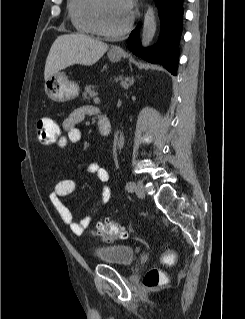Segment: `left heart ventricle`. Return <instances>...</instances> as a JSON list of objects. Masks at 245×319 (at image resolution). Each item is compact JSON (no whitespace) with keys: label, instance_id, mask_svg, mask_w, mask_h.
<instances>
[{"label":"left heart ventricle","instance_id":"b2bd125f","mask_svg":"<svg viewBox=\"0 0 245 319\" xmlns=\"http://www.w3.org/2000/svg\"><path fill=\"white\" fill-rule=\"evenodd\" d=\"M129 16L130 14L120 8L117 0H103V19L109 29L116 30L123 27Z\"/></svg>","mask_w":245,"mask_h":319}]
</instances>
